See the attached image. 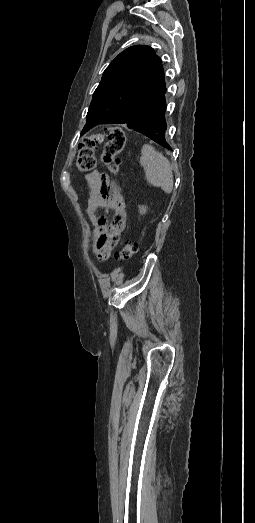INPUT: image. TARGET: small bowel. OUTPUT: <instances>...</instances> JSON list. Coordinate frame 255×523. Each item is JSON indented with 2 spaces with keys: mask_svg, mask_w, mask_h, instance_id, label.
<instances>
[{
  "mask_svg": "<svg viewBox=\"0 0 255 523\" xmlns=\"http://www.w3.org/2000/svg\"><path fill=\"white\" fill-rule=\"evenodd\" d=\"M90 189L86 214L94 226L93 252L99 261L108 260L126 225V206L119 187L107 175L94 171L87 175ZM113 212L111 223L101 211Z\"/></svg>",
  "mask_w": 255,
  "mask_h": 523,
  "instance_id": "small-bowel-1",
  "label": "small bowel"
}]
</instances>
